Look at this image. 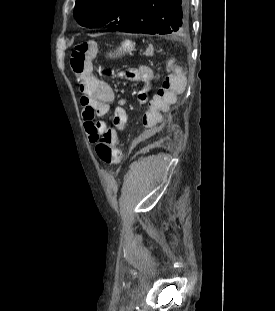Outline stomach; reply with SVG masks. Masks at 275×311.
<instances>
[{
	"mask_svg": "<svg viewBox=\"0 0 275 311\" xmlns=\"http://www.w3.org/2000/svg\"><path fill=\"white\" fill-rule=\"evenodd\" d=\"M134 50V43L130 42V41H124L121 43V46L115 50L114 52H110L107 54V56L109 58H118L121 57L123 55H125V53H131Z\"/></svg>",
	"mask_w": 275,
	"mask_h": 311,
	"instance_id": "stomach-1",
	"label": "stomach"
}]
</instances>
